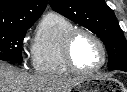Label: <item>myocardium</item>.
Masks as SVG:
<instances>
[{"mask_svg": "<svg viewBox=\"0 0 127 92\" xmlns=\"http://www.w3.org/2000/svg\"><path fill=\"white\" fill-rule=\"evenodd\" d=\"M86 34L90 36L98 45L101 51V62L98 66L92 69H81L77 67L73 59L72 49L77 36ZM63 59L68 69L77 74H91L100 71L106 64L107 52L102 40L93 31L87 28H73L65 36L63 41Z\"/></svg>", "mask_w": 127, "mask_h": 92, "instance_id": "1", "label": "myocardium"}]
</instances>
